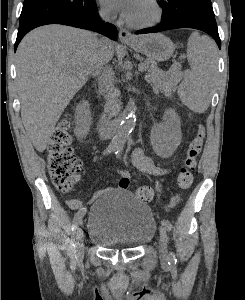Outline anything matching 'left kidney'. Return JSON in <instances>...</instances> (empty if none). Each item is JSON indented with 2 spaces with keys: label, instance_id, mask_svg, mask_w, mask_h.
<instances>
[{
  "label": "left kidney",
  "instance_id": "1",
  "mask_svg": "<svg viewBox=\"0 0 245 300\" xmlns=\"http://www.w3.org/2000/svg\"><path fill=\"white\" fill-rule=\"evenodd\" d=\"M182 139L180 119L173 109L165 111L163 123L151 132L155 151L162 156H170L177 149Z\"/></svg>",
  "mask_w": 245,
  "mask_h": 300
}]
</instances>
